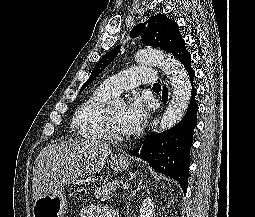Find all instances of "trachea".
<instances>
[{
    "instance_id": "1",
    "label": "trachea",
    "mask_w": 255,
    "mask_h": 217,
    "mask_svg": "<svg viewBox=\"0 0 255 217\" xmlns=\"http://www.w3.org/2000/svg\"><path fill=\"white\" fill-rule=\"evenodd\" d=\"M153 88H154V89H160V88H161V86H160V84H159V83H155V84L153 85Z\"/></svg>"
}]
</instances>
